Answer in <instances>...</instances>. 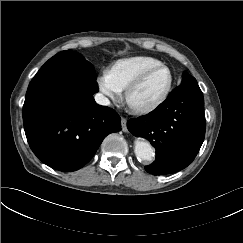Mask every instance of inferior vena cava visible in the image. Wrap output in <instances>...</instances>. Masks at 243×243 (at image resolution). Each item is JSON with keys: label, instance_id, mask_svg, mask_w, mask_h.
Segmentation results:
<instances>
[{"label": "inferior vena cava", "instance_id": "1", "mask_svg": "<svg viewBox=\"0 0 243 243\" xmlns=\"http://www.w3.org/2000/svg\"><path fill=\"white\" fill-rule=\"evenodd\" d=\"M95 101L99 105H104V106L110 105L109 99L101 93H98V94L95 95Z\"/></svg>", "mask_w": 243, "mask_h": 243}]
</instances>
